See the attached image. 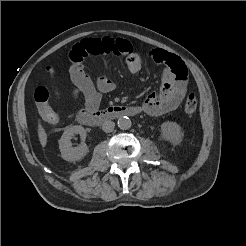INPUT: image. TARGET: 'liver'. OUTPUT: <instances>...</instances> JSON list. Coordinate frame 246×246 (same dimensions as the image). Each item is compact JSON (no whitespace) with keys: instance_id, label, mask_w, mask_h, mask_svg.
<instances>
[{"instance_id":"obj_1","label":"liver","mask_w":246,"mask_h":246,"mask_svg":"<svg viewBox=\"0 0 246 246\" xmlns=\"http://www.w3.org/2000/svg\"><path fill=\"white\" fill-rule=\"evenodd\" d=\"M37 132H38V138H39L41 146L45 147L47 144V134H46L45 129L40 124V122L38 123Z\"/></svg>"}]
</instances>
